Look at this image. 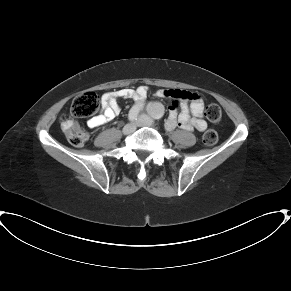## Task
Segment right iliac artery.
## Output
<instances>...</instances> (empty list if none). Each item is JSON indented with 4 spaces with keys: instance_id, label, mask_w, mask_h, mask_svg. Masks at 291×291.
<instances>
[{
    "instance_id": "82829eb1",
    "label": "right iliac artery",
    "mask_w": 291,
    "mask_h": 291,
    "mask_svg": "<svg viewBox=\"0 0 291 291\" xmlns=\"http://www.w3.org/2000/svg\"><path fill=\"white\" fill-rule=\"evenodd\" d=\"M138 113H139V110L135 106L132 107L131 110L129 111L128 119L131 122L137 120Z\"/></svg>"
}]
</instances>
